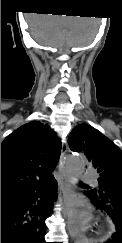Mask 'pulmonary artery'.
I'll return each instance as SVG.
<instances>
[{
	"mask_svg": "<svg viewBox=\"0 0 122 243\" xmlns=\"http://www.w3.org/2000/svg\"><path fill=\"white\" fill-rule=\"evenodd\" d=\"M83 179L85 181L96 182V177L89 172H86V173L83 174Z\"/></svg>",
	"mask_w": 122,
	"mask_h": 243,
	"instance_id": "pulmonary-artery-1",
	"label": "pulmonary artery"
}]
</instances>
